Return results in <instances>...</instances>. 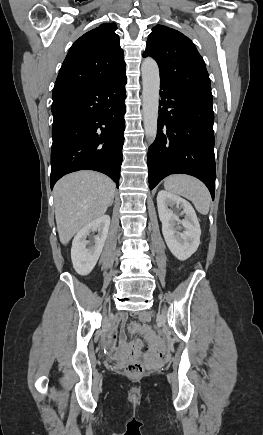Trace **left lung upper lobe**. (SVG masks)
<instances>
[{"instance_id":"1","label":"left lung upper lobe","mask_w":263,"mask_h":435,"mask_svg":"<svg viewBox=\"0 0 263 435\" xmlns=\"http://www.w3.org/2000/svg\"><path fill=\"white\" fill-rule=\"evenodd\" d=\"M144 56H151L158 63L161 82L212 96L204 60L181 32L155 26L148 36Z\"/></svg>"}]
</instances>
